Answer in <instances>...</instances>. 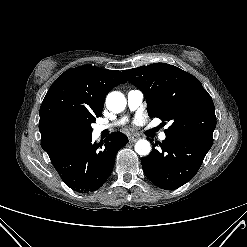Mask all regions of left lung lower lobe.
Masks as SVG:
<instances>
[{"mask_svg":"<svg viewBox=\"0 0 247 247\" xmlns=\"http://www.w3.org/2000/svg\"><path fill=\"white\" fill-rule=\"evenodd\" d=\"M153 145L149 156L142 159L146 177L157 187L174 190L190 181L199 170L208 148L183 138L167 137Z\"/></svg>","mask_w":247,"mask_h":247,"instance_id":"1","label":"left lung lower lobe"}]
</instances>
